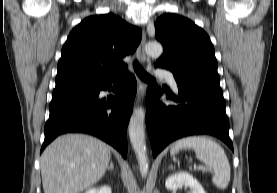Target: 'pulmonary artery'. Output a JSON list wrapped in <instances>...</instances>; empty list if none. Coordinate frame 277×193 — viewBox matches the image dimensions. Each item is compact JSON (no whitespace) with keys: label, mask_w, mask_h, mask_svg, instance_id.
Returning a JSON list of instances; mask_svg holds the SVG:
<instances>
[{"label":"pulmonary artery","mask_w":277,"mask_h":193,"mask_svg":"<svg viewBox=\"0 0 277 193\" xmlns=\"http://www.w3.org/2000/svg\"><path fill=\"white\" fill-rule=\"evenodd\" d=\"M157 75L159 77L164 78L173 89L177 90V81H176L173 73H171L170 71H166V70H159V71H157Z\"/></svg>","instance_id":"e3ab8cb5"}]
</instances>
